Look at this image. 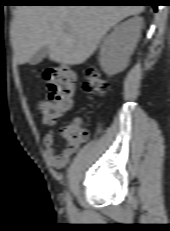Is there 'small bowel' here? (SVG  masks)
<instances>
[{
	"label": "small bowel",
	"instance_id": "small-bowel-1",
	"mask_svg": "<svg viewBox=\"0 0 170 231\" xmlns=\"http://www.w3.org/2000/svg\"><path fill=\"white\" fill-rule=\"evenodd\" d=\"M82 120L79 117H74L69 121V124H79L81 125ZM44 145L46 147L45 155L48 163L55 169H61L67 165L70 160L71 153L74 151L69 148H65L63 151L57 153L55 149V138L54 131H49L44 136Z\"/></svg>",
	"mask_w": 170,
	"mask_h": 231
}]
</instances>
